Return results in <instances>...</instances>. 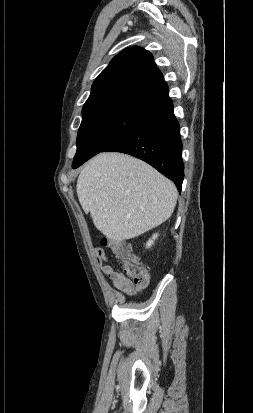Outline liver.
Returning a JSON list of instances; mask_svg holds the SVG:
<instances>
[{
  "instance_id": "6515ba94",
  "label": "liver",
  "mask_w": 253,
  "mask_h": 413,
  "mask_svg": "<svg viewBox=\"0 0 253 413\" xmlns=\"http://www.w3.org/2000/svg\"><path fill=\"white\" fill-rule=\"evenodd\" d=\"M77 195L95 227L123 241L165 222L176 206L175 185L147 163L126 154L100 153L81 170Z\"/></svg>"
}]
</instances>
